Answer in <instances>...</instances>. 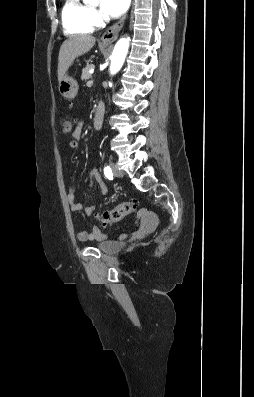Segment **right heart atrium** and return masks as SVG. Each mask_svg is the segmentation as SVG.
I'll use <instances>...</instances> for the list:
<instances>
[{
  "instance_id": "1",
  "label": "right heart atrium",
  "mask_w": 254,
  "mask_h": 397,
  "mask_svg": "<svg viewBox=\"0 0 254 397\" xmlns=\"http://www.w3.org/2000/svg\"><path fill=\"white\" fill-rule=\"evenodd\" d=\"M91 18L95 25H98L101 22V16L95 9H91Z\"/></svg>"
}]
</instances>
